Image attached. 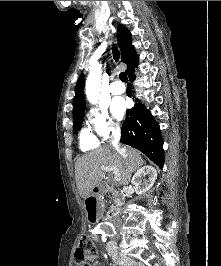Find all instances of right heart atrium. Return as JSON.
Here are the masks:
<instances>
[{
    "label": "right heart atrium",
    "instance_id": "obj_1",
    "mask_svg": "<svg viewBox=\"0 0 221 266\" xmlns=\"http://www.w3.org/2000/svg\"><path fill=\"white\" fill-rule=\"evenodd\" d=\"M87 120L95 135L103 141L119 135L120 127L105 107L90 109Z\"/></svg>",
    "mask_w": 221,
    "mask_h": 266
}]
</instances>
